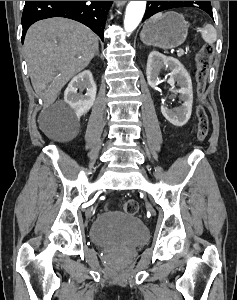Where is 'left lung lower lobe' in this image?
Segmentation results:
<instances>
[{
    "label": "left lung lower lobe",
    "mask_w": 237,
    "mask_h": 300,
    "mask_svg": "<svg viewBox=\"0 0 237 300\" xmlns=\"http://www.w3.org/2000/svg\"><path fill=\"white\" fill-rule=\"evenodd\" d=\"M207 13L213 18L212 9H211V10H208Z\"/></svg>",
    "instance_id": "left-lung-lower-lobe-1"
}]
</instances>
